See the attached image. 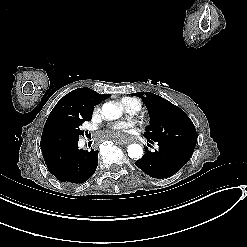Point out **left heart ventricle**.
Listing matches in <instances>:
<instances>
[{
  "instance_id": "b2bd125f",
  "label": "left heart ventricle",
  "mask_w": 247,
  "mask_h": 247,
  "mask_svg": "<svg viewBox=\"0 0 247 247\" xmlns=\"http://www.w3.org/2000/svg\"><path fill=\"white\" fill-rule=\"evenodd\" d=\"M117 124L127 134L129 144L135 145V147L132 148V151H137L138 147L136 146L137 139L135 137V123L133 120L128 115H125L120 121L117 122Z\"/></svg>"
}]
</instances>
